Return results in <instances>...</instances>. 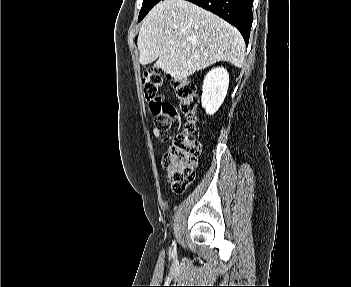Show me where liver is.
Masks as SVG:
<instances>
[{
  "instance_id": "6515ba94",
  "label": "liver",
  "mask_w": 351,
  "mask_h": 287,
  "mask_svg": "<svg viewBox=\"0 0 351 287\" xmlns=\"http://www.w3.org/2000/svg\"><path fill=\"white\" fill-rule=\"evenodd\" d=\"M139 62L154 61L182 81L216 62L240 68L245 58L241 33L213 13L185 0H164L142 22L138 40Z\"/></svg>"
}]
</instances>
